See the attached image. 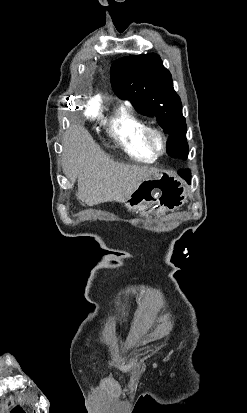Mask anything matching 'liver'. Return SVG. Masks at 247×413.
Listing matches in <instances>:
<instances>
[{
  "mask_svg": "<svg viewBox=\"0 0 247 413\" xmlns=\"http://www.w3.org/2000/svg\"><path fill=\"white\" fill-rule=\"evenodd\" d=\"M62 168L71 186L78 178L77 198L83 204L123 202L138 184L158 168L147 164H125L111 158L95 142L81 122H72L63 140Z\"/></svg>",
  "mask_w": 247,
  "mask_h": 413,
  "instance_id": "1",
  "label": "liver"
}]
</instances>
